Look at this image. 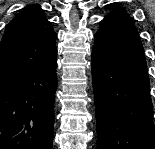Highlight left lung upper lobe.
Listing matches in <instances>:
<instances>
[{
  "label": "left lung upper lobe",
  "mask_w": 155,
  "mask_h": 149,
  "mask_svg": "<svg viewBox=\"0 0 155 149\" xmlns=\"http://www.w3.org/2000/svg\"><path fill=\"white\" fill-rule=\"evenodd\" d=\"M117 13H126V11L124 9H114L112 12H110L108 15H111V14H117Z\"/></svg>",
  "instance_id": "5c2ea615"
}]
</instances>
